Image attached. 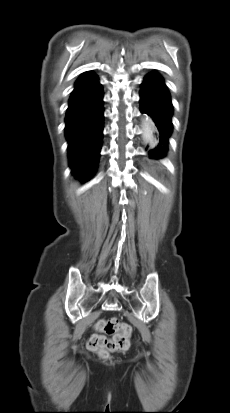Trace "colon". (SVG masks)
<instances>
[{
	"instance_id": "1",
	"label": "colon",
	"mask_w": 230,
	"mask_h": 413,
	"mask_svg": "<svg viewBox=\"0 0 230 413\" xmlns=\"http://www.w3.org/2000/svg\"><path fill=\"white\" fill-rule=\"evenodd\" d=\"M95 329L98 333L88 339L87 347L100 357L107 358L111 352L124 351L130 347L132 329L128 324L112 317L99 320ZM105 335L113 337L109 339Z\"/></svg>"
}]
</instances>
